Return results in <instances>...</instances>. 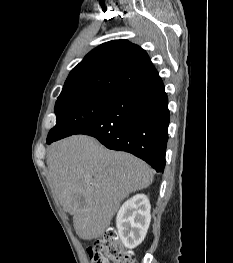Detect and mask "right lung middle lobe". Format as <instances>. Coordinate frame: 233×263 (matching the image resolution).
<instances>
[{
  "label": "right lung middle lobe",
  "instance_id": "right-lung-middle-lobe-1",
  "mask_svg": "<svg viewBox=\"0 0 233 263\" xmlns=\"http://www.w3.org/2000/svg\"><path fill=\"white\" fill-rule=\"evenodd\" d=\"M117 96L110 92H79L59 96L55 105L56 125L47 142L75 134L102 115Z\"/></svg>",
  "mask_w": 233,
  "mask_h": 263
}]
</instances>
